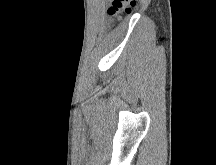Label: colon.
<instances>
[{
  "mask_svg": "<svg viewBox=\"0 0 216 165\" xmlns=\"http://www.w3.org/2000/svg\"><path fill=\"white\" fill-rule=\"evenodd\" d=\"M137 4L138 0H113L106 15L111 18H122V16L130 14Z\"/></svg>",
  "mask_w": 216,
  "mask_h": 165,
  "instance_id": "obj_1",
  "label": "colon"
}]
</instances>
